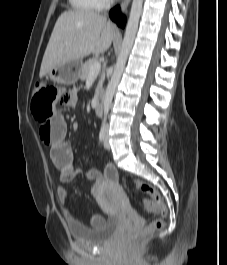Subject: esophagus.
Masks as SVG:
<instances>
[{
	"label": "esophagus",
	"instance_id": "1",
	"mask_svg": "<svg viewBox=\"0 0 227 265\" xmlns=\"http://www.w3.org/2000/svg\"><path fill=\"white\" fill-rule=\"evenodd\" d=\"M131 0H123V2L121 3V10L122 12H126L127 8L130 4Z\"/></svg>",
	"mask_w": 227,
	"mask_h": 265
}]
</instances>
